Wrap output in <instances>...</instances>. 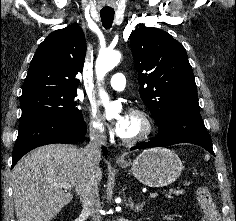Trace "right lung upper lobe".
Returning <instances> with one entry per match:
<instances>
[{"mask_svg":"<svg viewBox=\"0 0 236 221\" xmlns=\"http://www.w3.org/2000/svg\"><path fill=\"white\" fill-rule=\"evenodd\" d=\"M85 55L86 42L79 25L50 33L36 50L22 94L40 89L77 91L76 75L83 70Z\"/></svg>","mask_w":236,"mask_h":221,"instance_id":"obj_1","label":"right lung upper lobe"}]
</instances>
